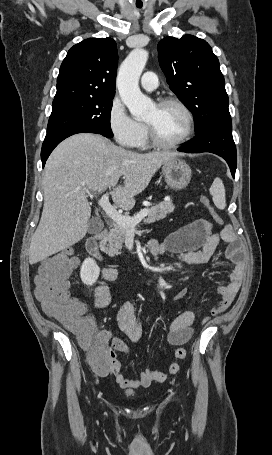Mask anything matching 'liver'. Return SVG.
<instances>
[{
  "instance_id": "6515ba94",
  "label": "liver",
  "mask_w": 272,
  "mask_h": 455,
  "mask_svg": "<svg viewBox=\"0 0 272 455\" xmlns=\"http://www.w3.org/2000/svg\"><path fill=\"white\" fill-rule=\"evenodd\" d=\"M178 155L169 151L136 153L90 133L64 140L45 165L44 206L30 243V264L85 237L91 216L89 192L102 193L112 188L113 202L130 210L135 196L145 190L161 165ZM122 176L123 185H117Z\"/></svg>"
}]
</instances>
